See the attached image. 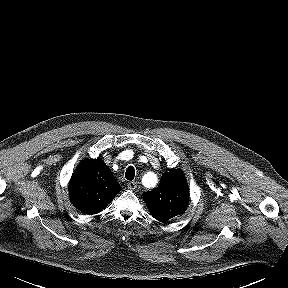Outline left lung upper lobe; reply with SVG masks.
I'll return each instance as SVG.
<instances>
[{
	"label": "left lung upper lobe",
	"instance_id": "5c2ea615",
	"mask_svg": "<svg viewBox=\"0 0 288 288\" xmlns=\"http://www.w3.org/2000/svg\"><path fill=\"white\" fill-rule=\"evenodd\" d=\"M188 185L182 172L172 169L161 176L159 186L143 194L152 216L162 222L185 212L188 204Z\"/></svg>",
	"mask_w": 288,
	"mask_h": 288
}]
</instances>
